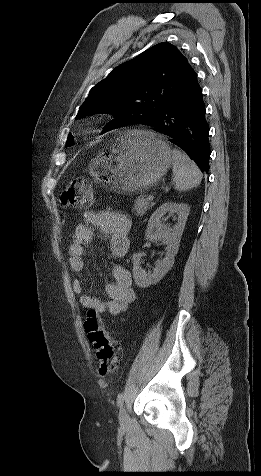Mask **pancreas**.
Segmentation results:
<instances>
[{"instance_id":"pancreas-1","label":"pancreas","mask_w":261,"mask_h":476,"mask_svg":"<svg viewBox=\"0 0 261 476\" xmlns=\"http://www.w3.org/2000/svg\"><path fill=\"white\" fill-rule=\"evenodd\" d=\"M154 206L152 201H149L146 198H138L133 207V212L137 216H143L145 213Z\"/></svg>"}]
</instances>
